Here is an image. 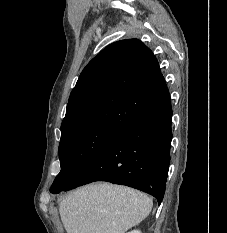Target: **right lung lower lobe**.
I'll use <instances>...</instances> for the list:
<instances>
[{
  "mask_svg": "<svg viewBox=\"0 0 227 233\" xmlns=\"http://www.w3.org/2000/svg\"><path fill=\"white\" fill-rule=\"evenodd\" d=\"M171 120L169 100L119 130L61 191L94 181H107L146 192L160 205L170 163Z\"/></svg>",
  "mask_w": 227,
  "mask_h": 233,
  "instance_id": "98d812e1",
  "label": "right lung lower lobe"
}]
</instances>
